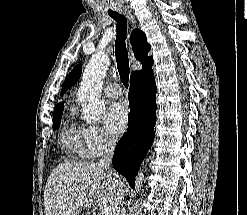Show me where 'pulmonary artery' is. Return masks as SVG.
<instances>
[{
  "mask_svg": "<svg viewBox=\"0 0 247 215\" xmlns=\"http://www.w3.org/2000/svg\"><path fill=\"white\" fill-rule=\"evenodd\" d=\"M104 92L110 98H117L122 93L121 88L117 83L108 84L105 87Z\"/></svg>",
  "mask_w": 247,
  "mask_h": 215,
  "instance_id": "1",
  "label": "pulmonary artery"
}]
</instances>
